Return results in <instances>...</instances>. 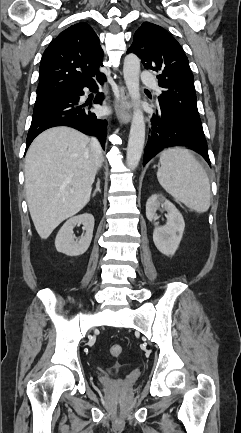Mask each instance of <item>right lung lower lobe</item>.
<instances>
[{"label":"right lung lower lobe","mask_w":241,"mask_h":433,"mask_svg":"<svg viewBox=\"0 0 241 433\" xmlns=\"http://www.w3.org/2000/svg\"><path fill=\"white\" fill-rule=\"evenodd\" d=\"M105 76L87 85H77L65 89L63 96L50 103L46 107L33 112L31 126L27 136L26 150L33 139L44 130L55 126L73 127L87 135L98 137L104 148L107 135V121L97 118L85 105H79V98L84 94L83 88L88 87L91 91L97 86L96 82L103 84ZM103 94L98 93L94 103L101 104Z\"/></svg>","instance_id":"1"}]
</instances>
